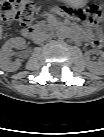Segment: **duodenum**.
Here are the masks:
<instances>
[{
    "instance_id": "duodenum-1",
    "label": "duodenum",
    "mask_w": 104,
    "mask_h": 137,
    "mask_svg": "<svg viewBox=\"0 0 104 137\" xmlns=\"http://www.w3.org/2000/svg\"><path fill=\"white\" fill-rule=\"evenodd\" d=\"M37 29L34 27H26L22 30V33L25 37H33L37 34ZM74 37L78 40H84L87 39L86 34L84 33L83 30H78L77 33L74 35Z\"/></svg>"
}]
</instances>
